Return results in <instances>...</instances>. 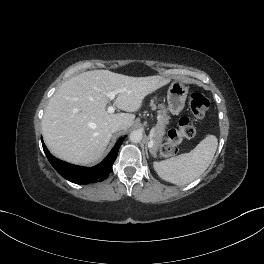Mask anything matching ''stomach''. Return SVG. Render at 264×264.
Listing matches in <instances>:
<instances>
[{
    "label": "stomach",
    "instance_id": "0dacf381",
    "mask_svg": "<svg viewBox=\"0 0 264 264\" xmlns=\"http://www.w3.org/2000/svg\"><path fill=\"white\" fill-rule=\"evenodd\" d=\"M187 95L188 89L183 83L177 80L171 83L167 93V102L173 114H178L183 110Z\"/></svg>",
    "mask_w": 264,
    "mask_h": 264
}]
</instances>
